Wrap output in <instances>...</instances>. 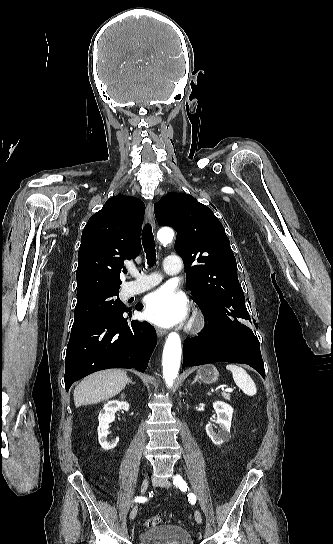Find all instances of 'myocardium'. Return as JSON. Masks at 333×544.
<instances>
[{
  "label": "myocardium",
  "mask_w": 333,
  "mask_h": 544,
  "mask_svg": "<svg viewBox=\"0 0 333 544\" xmlns=\"http://www.w3.org/2000/svg\"><path fill=\"white\" fill-rule=\"evenodd\" d=\"M205 326V317L203 313L199 310L195 311L192 322H191V329L193 331H199Z\"/></svg>",
  "instance_id": "1"
}]
</instances>
